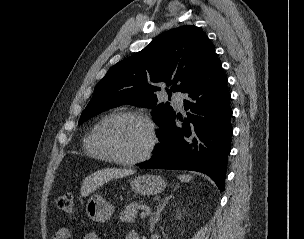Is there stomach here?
I'll list each match as a JSON object with an SVG mask.
<instances>
[{
	"label": "stomach",
	"mask_w": 304,
	"mask_h": 239,
	"mask_svg": "<svg viewBox=\"0 0 304 239\" xmlns=\"http://www.w3.org/2000/svg\"><path fill=\"white\" fill-rule=\"evenodd\" d=\"M131 187L137 194L153 195L164 190L165 181L160 176L147 174L134 178ZM86 212L93 221L103 223L112 216L114 206L101 195L94 194L87 201Z\"/></svg>",
	"instance_id": "1"
}]
</instances>
